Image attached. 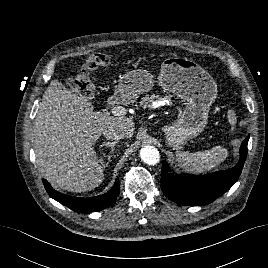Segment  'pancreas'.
I'll return each mask as SVG.
<instances>
[{"instance_id": "pancreas-1", "label": "pancreas", "mask_w": 268, "mask_h": 268, "mask_svg": "<svg viewBox=\"0 0 268 268\" xmlns=\"http://www.w3.org/2000/svg\"><path fill=\"white\" fill-rule=\"evenodd\" d=\"M167 97H161L159 95H151V96H145L142 98V101L140 102V105L143 108H147L153 101L157 100V101H162V100H166Z\"/></svg>"}]
</instances>
